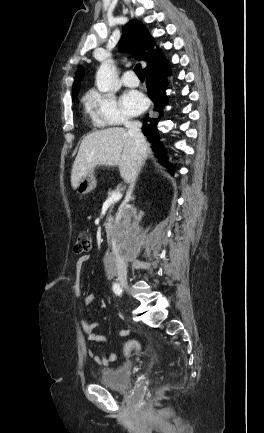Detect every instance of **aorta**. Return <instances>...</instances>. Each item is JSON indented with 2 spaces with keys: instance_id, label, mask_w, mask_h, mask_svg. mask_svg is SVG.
<instances>
[{
  "instance_id": "aorta-1",
  "label": "aorta",
  "mask_w": 264,
  "mask_h": 433,
  "mask_svg": "<svg viewBox=\"0 0 264 433\" xmlns=\"http://www.w3.org/2000/svg\"><path fill=\"white\" fill-rule=\"evenodd\" d=\"M96 86L100 92H108L111 89V66L109 62L100 65L96 73Z\"/></svg>"
}]
</instances>
